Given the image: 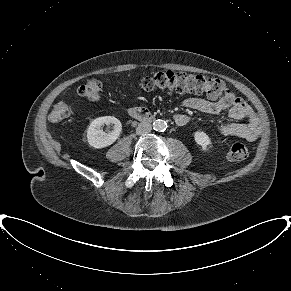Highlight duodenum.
Instances as JSON below:
<instances>
[{"instance_id":"duodenum-1","label":"duodenum","mask_w":291,"mask_h":291,"mask_svg":"<svg viewBox=\"0 0 291 291\" xmlns=\"http://www.w3.org/2000/svg\"><path fill=\"white\" fill-rule=\"evenodd\" d=\"M129 115L139 121L150 122L154 116L145 108L134 107L129 110Z\"/></svg>"}]
</instances>
